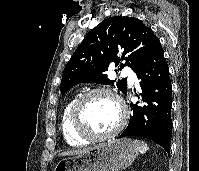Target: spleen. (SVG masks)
<instances>
[{
	"instance_id": "obj_1",
	"label": "spleen",
	"mask_w": 199,
	"mask_h": 171,
	"mask_svg": "<svg viewBox=\"0 0 199 171\" xmlns=\"http://www.w3.org/2000/svg\"><path fill=\"white\" fill-rule=\"evenodd\" d=\"M134 143L137 146L138 151L142 154H144L147 150H149L147 144L143 141L135 140Z\"/></svg>"
}]
</instances>
